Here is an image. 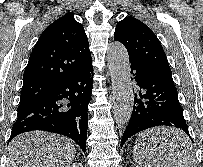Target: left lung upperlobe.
<instances>
[{
    "label": "left lung upper lobe",
    "mask_w": 203,
    "mask_h": 167,
    "mask_svg": "<svg viewBox=\"0 0 203 167\" xmlns=\"http://www.w3.org/2000/svg\"><path fill=\"white\" fill-rule=\"evenodd\" d=\"M114 39L127 49L130 61H137L155 72L172 77L162 45L152 30L132 16L118 22Z\"/></svg>",
    "instance_id": "1"
}]
</instances>
